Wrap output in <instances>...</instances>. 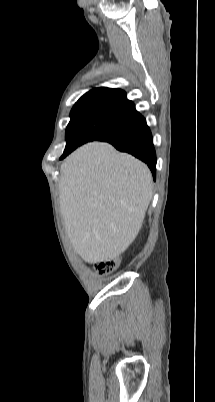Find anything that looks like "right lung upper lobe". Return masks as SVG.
<instances>
[{
  "instance_id": "obj_1",
  "label": "right lung upper lobe",
  "mask_w": 215,
  "mask_h": 402,
  "mask_svg": "<svg viewBox=\"0 0 215 402\" xmlns=\"http://www.w3.org/2000/svg\"><path fill=\"white\" fill-rule=\"evenodd\" d=\"M96 95L111 96L120 100L131 102L130 100L127 99L126 93L124 91L115 88H106V87L93 88L83 96H96Z\"/></svg>"
}]
</instances>
